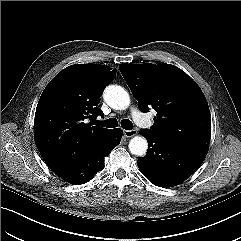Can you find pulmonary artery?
I'll list each match as a JSON object with an SVG mask.
<instances>
[{"mask_svg": "<svg viewBox=\"0 0 241 241\" xmlns=\"http://www.w3.org/2000/svg\"><path fill=\"white\" fill-rule=\"evenodd\" d=\"M132 115H133V118L135 119V121L139 125H142V126L147 125V120L143 117V115L137 109H134L132 111Z\"/></svg>", "mask_w": 241, "mask_h": 241, "instance_id": "pulmonary-artery-1", "label": "pulmonary artery"}]
</instances>
